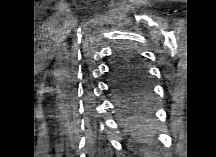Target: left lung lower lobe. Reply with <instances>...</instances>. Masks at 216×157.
Returning <instances> with one entry per match:
<instances>
[{"mask_svg": "<svg viewBox=\"0 0 216 157\" xmlns=\"http://www.w3.org/2000/svg\"><path fill=\"white\" fill-rule=\"evenodd\" d=\"M111 88L117 96L118 108L120 109L124 119H126L125 127L128 130H133L139 122L138 117L133 113L135 108L132 106L134 87L131 85H122L113 78Z\"/></svg>", "mask_w": 216, "mask_h": 157, "instance_id": "0a47b994", "label": "left lung lower lobe"}]
</instances>
